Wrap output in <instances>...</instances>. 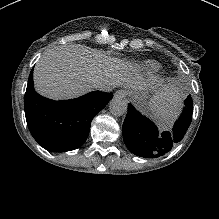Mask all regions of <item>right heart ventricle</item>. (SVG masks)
<instances>
[{
	"mask_svg": "<svg viewBox=\"0 0 219 219\" xmlns=\"http://www.w3.org/2000/svg\"><path fill=\"white\" fill-rule=\"evenodd\" d=\"M144 70L149 71L150 73H156L159 70V64L153 61H145L142 63Z\"/></svg>",
	"mask_w": 219,
	"mask_h": 219,
	"instance_id": "obj_1",
	"label": "right heart ventricle"
}]
</instances>
